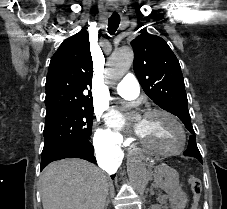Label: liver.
<instances>
[{
    "mask_svg": "<svg viewBox=\"0 0 227 209\" xmlns=\"http://www.w3.org/2000/svg\"><path fill=\"white\" fill-rule=\"evenodd\" d=\"M40 181L43 209H104L108 177L87 161H55L46 167Z\"/></svg>",
    "mask_w": 227,
    "mask_h": 209,
    "instance_id": "liver-1",
    "label": "liver"
}]
</instances>
